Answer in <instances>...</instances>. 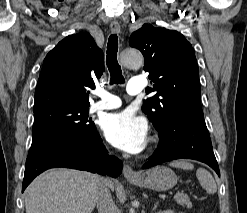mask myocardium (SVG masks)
<instances>
[{
	"instance_id": "f54148a6",
	"label": "myocardium",
	"mask_w": 247,
	"mask_h": 213,
	"mask_svg": "<svg viewBox=\"0 0 247 213\" xmlns=\"http://www.w3.org/2000/svg\"><path fill=\"white\" fill-rule=\"evenodd\" d=\"M155 143H156V139L155 138H151L150 142H149V146H148V151H151L154 148Z\"/></svg>"
}]
</instances>
